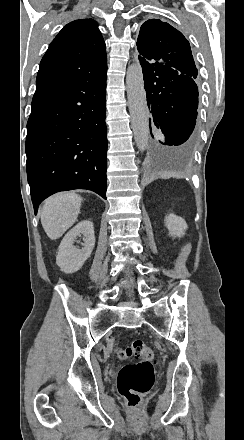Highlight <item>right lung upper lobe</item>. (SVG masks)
Segmentation results:
<instances>
[{
	"mask_svg": "<svg viewBox=\"0 0 244 440\" xmlns=\"http://www.w3.org/2000/svg\"><path fill=\"white\" fill-rule=\"evenodd\" d=\"M105 43L97 23L79 19L67 24L41 60L36 84L107 65Z\"/></svg>",
	"mask_w": 244,
	"mask_h": 440,
	"instance_id": "right-lung-upper-lobe-1",
	"label": "right lung upper lobe"
}]
</instances>
